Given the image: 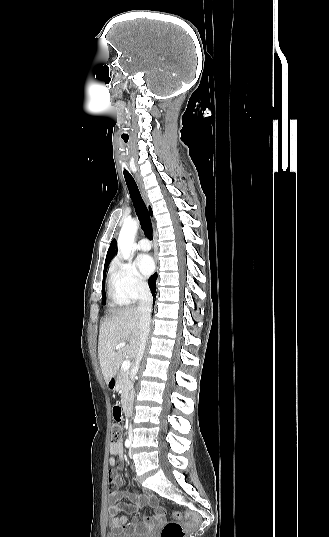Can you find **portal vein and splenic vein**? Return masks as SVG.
Listing matches in <instances>:
<instances>
[{
	"instance_id": "obj_1",
	"label": "portal vein and splenic vein",
	"mask_w": 329,
	"mask_h": 537,
	"mask_svg": "<svg viewBox=\"0 0 329 537\" xmlns=\"http://www.w3.org/2000/svg\"><path fill=\"white\" fill-rule=\"evenodd\" d=\"M124 346H125V343H124V342L119 343V344L116 346V349H120V348H122V347H124ZM130 364H131V363H130V360H129V359H126L125 361H123L121 368H122L123 370H128V369L130 368Z\"/></svg>"
}]
</instances>
